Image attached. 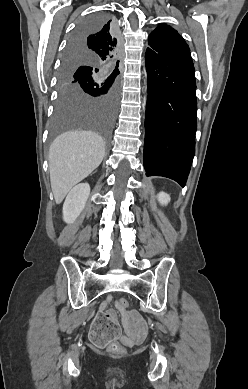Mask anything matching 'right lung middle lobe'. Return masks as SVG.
<instances>
[{
  "instance_id": "1",
  "label": "right lung middle lobe",
  "mask_w": 248,
  "mask_h": 389,
  "mask_svg": "<svg viewBox=\"0 0 248 389\" xmlns=\"http://www.w3.org/2000/svg\"><path fill=\"white\" fill-rule=\"evenodd\" d=\"M107 22L108 17L105 14L89 16L79 24L69 44L72 45L76 39L98 31ZM118 94L117 76L111 73L109 67L88 60V56L81 53L65 52L51 139L72 129H93L99 132L107 143L115 117Z\"/></svg>"
}]
</instances>
